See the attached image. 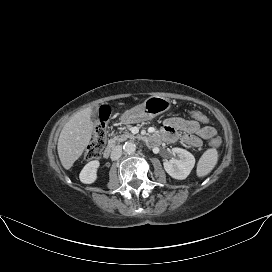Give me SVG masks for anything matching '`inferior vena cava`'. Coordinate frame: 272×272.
<instances>
[{"instance_id":"602c4592","label":"inferior vena cava","mask_w":272,"mask_h":272,"mask_svg":"<svg viewBox=\"0 0 272 272\" xmlns=\"http://www.w3.org/2000/svg\"><path fill=\"white\" fill-rule=\"evenodd\" d=\"M121 155H122V146L117 145L113 148L110 158H111V160L114 161V160L119 159L121 157Z\"/></svg>"}]
</instances>
